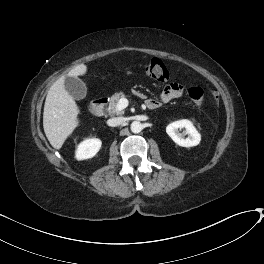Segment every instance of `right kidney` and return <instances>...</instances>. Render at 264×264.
Masks as SVG:
<instances>
[{
  "label": "right kidney",
  "mask_w": 264,
  "mask_h": 264,
  "mask_svg": "<svg viewBox=\"0 0 264 264\" xmlns=\"http://www.w3.org/2000/svg\"><path fill=\"white\" fill-rule=\"evenodd\" d=\"M101 147V141L97 138L86 139L81 142L76 149V158L84 160L96 155Z\"/></svg>",
  "instance_id": "ca27d5eb"
}]
</instances>
